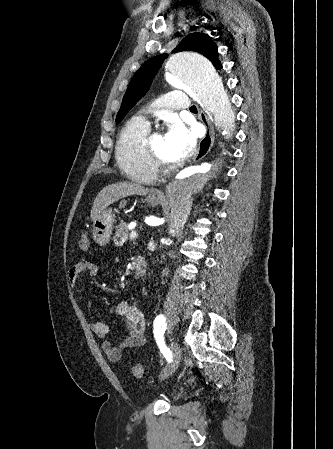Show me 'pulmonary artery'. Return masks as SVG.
Here are the masks:
<instances>
[{
	"label": "pulmonary artery",
	"mask_w": 333,
	"mask_h": 449,
	"mask_svg": "<svg viewBox=\"0 0 333 449\" xmlns=\"http://www.w3.org/2000/svg\"><path fill=\"white\" fill-rule=\"evenodd\" d=\"M162 104L169 109H190L189 98L183 90H173L168 92L162 98ZM143 121H147L142 118Z\"/></svg>",
	"instance_id": "1"
}]
</instances>
